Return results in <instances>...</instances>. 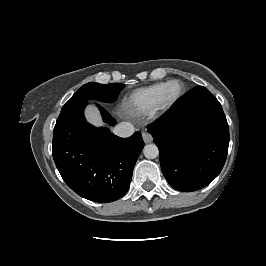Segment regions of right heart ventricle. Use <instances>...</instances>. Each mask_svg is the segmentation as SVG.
I'll list each match as a JSON object with an SVG mask.
<instances>
[{
	"label": "right heart ventricle",
	"instance_id": "e07e8e85",
	"mask_svg": "<svg viewBox=\"0 0 266 266\" xmlns=\"http://www.w3.org/2000/svg\"><path fill=\"white\" fill-rule=\"evenodd\" d=\"M165 83L135 90L123 103V108L134 115L149 114L156 110Z\"/></svg>",
	"mask_w": 266,
	"mask_h": 266
}]
</instances>
